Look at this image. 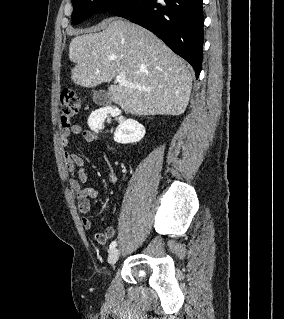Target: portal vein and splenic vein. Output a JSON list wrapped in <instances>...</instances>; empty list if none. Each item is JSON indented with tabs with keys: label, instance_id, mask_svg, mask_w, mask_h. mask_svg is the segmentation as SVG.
<instances>
[{
	"label": "portal vein and splenic vein",
	"instance_id": "portal-vein-and-splenic-vein-1",
	"mask_svg": "<svg viewBox=\"0 0 284 319\" xmlns=\"http://www.w3.org/2000/svg\"><path fill=\"white\" fill-rule=\"evenodd\" d=\"M115 81L121 85H125V86H128L130 88H135V89H139V90L142 89V87L140 85L126 81V78L124 75H117L115 78Z\"/></svg>",
	"mask_w": 284,
	"mask_h": 319
}]
</instances>
